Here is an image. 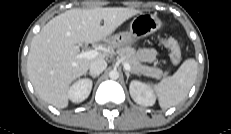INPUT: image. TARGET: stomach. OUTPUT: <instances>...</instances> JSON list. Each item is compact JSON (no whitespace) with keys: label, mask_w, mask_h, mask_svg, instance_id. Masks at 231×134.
I'll return each mask as SVG.
<instances>
[{"label":"stomach","mask_w":231,"mask_h":134,"mask_svg":"<svg viewBox=\"0 0 231 134\" xmlns=\"http://www.w3.org/2000/svg\"><path fill=\"white\" fill-rule=\"evenodd\" d=\"M163 22L155 15L141 13L130 23L128 32H121L109 38V43L113 47H124L134 44L138 39L146 37L161 29Z\"/></svg>","instance_id":"obj_1"}]
</instances>
